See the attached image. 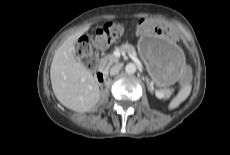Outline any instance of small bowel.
Masks as SVG:
<instances>
[{
    "instance_id": "c3829d8e",
    "label": "small bowel",
    "mask_w": 230,
    "mask_h": 155,
    "mask_svg": "<svg viewBox=\"0 0 230 155\" xmlns=\"http://www.w3.org/2000/svg\"><path fill=\"white\" fill-rule=\"evenodd\" d=\"M137 32L139 34H150L156 32L163 34L165 40H170L172 44L178 43L177 30L166 21L153 20L152 18L143 17L137 25Z\"/></svg>"
}]
</instances>
